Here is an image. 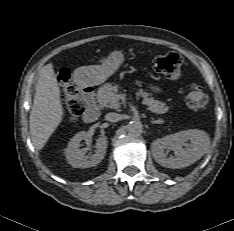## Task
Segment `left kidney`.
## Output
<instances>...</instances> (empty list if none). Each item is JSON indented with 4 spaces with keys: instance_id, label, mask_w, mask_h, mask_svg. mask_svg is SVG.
Segmentation results:
<instances>
[{
    "instance_id": "5707ae66",
    "label": "left kidney",
    "mask_w": 234,
    "mask_h": 231,
    "mask_svg": "<svg viewBox=\"0 0 234 231\" xmlns=\"http://www.w3.org/2000/svg\"><path fill=\"white\" fill-rule=\"evenodd\" d=\"M189 141V143H187ZM209 135L202 130L188 129L180 131L152 143L154 159L163 167L179 169L199 160L209 151ZM168 150L175 156L167 157Z\"/></svg>"
}]
</instances>
